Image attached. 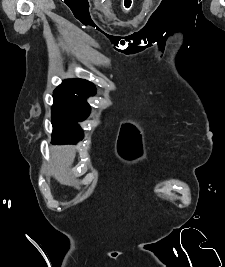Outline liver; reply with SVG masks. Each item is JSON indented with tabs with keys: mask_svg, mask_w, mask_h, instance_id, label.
Listing matches in <instances>:
<instances>
[{
	"mask_svg": "<svg viewBox=\"0 0 225 267\" xmlns=\"http://www.w3.org/2000/svg\"><path fill=\"white\" fill-rule=\"evenodd\" d=\"M53 166L51 172L61 183L69 185L72 181L66 173V169L71 166L75 158L73 146H54L51 147ZM78 188V186H76Z\"/></svg>",
	"mask_w": 225,
	"mask_h": 267,
	"instance_id": "liver-1",
	"label": "liver"
}]
</instances>
